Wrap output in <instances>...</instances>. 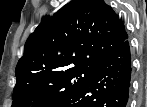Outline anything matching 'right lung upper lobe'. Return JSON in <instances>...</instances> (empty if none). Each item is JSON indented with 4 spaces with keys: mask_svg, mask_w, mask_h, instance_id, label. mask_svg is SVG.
Masks as SVG:
<instances>
[{
    "mask_svg": "<svg viewBox=\"0 0 147 107\" xmlns=\"http://www.w3.org/2000/svg\"><path fill=\"white\" fill-rule=\"evenodd\" d=\"M127 37L122 20L103 0H72L53 17L43 18L29 36L16 74L97 67Z\"/></svg>",
    "mask_w": 147,
    "mask_h": 107,
    "instance_id": "cb5924a9",
    "label": "right lung upper lobe"
}]
</instances>
